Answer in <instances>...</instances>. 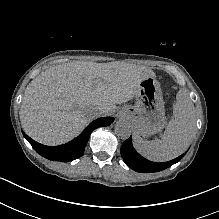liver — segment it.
<instances>
[{
	"instance_id": "1",
	"label": "liver",
	"mask_w": 219,
	"mask_h": 219,
	"mask_svg": "<svg viewBox=\"0 0 219 219\" xmlns=\"http://www.w3.org/2000/svg\"><path fill=\"white\" fill-rule=\"evenodd\" d=\"M149 74L143 66L116 62L75 61L50 67L25 89L19 111L22 128L41 144L66 143L93 119L131 100Z\"/></svg>"
}]
</instances>
